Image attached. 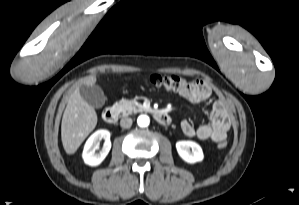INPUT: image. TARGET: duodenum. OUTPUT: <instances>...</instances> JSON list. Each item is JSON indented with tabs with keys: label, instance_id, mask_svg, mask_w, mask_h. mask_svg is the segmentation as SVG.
<instances>
[{
	"label": "duodenum",
	"instance_id": "duodenum-1",
	"mask_svg": "<svg viewBox=\"0 0 299 205\" xmlns=\"http://www.w3.org/2000/svg\"><path fill=\"white\" fill-rule=\"evenodd\" d=\"M153 116L155 120L162 125H168L171 122L169 114L164 111L155 110L153 111ZM102 117L105 122L113 124L117 122L119 118V111L115 107H107L103 110Z\"/></svg>",
	"mask_w": 299,
	"mask_h": 205
}]
</instances>
